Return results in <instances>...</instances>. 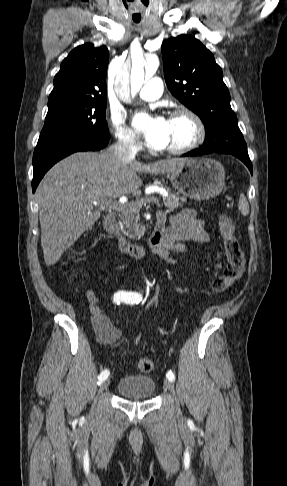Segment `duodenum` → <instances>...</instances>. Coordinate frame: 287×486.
<instances>
[{
	"label": "duodenum",
	"mask_w": 287,
	"mask_h": 486,
	"mask_svg": "<svg viewBox=\"0 0 287 486\" xmlns=\"http://www.w3.org/2000/svg\"><path fill=\"white\" fill-rule=\"evenodd\" d=\"M103 227L108 234L117 240L119 249L122 252L135 258H142L148 250L156 252L161 247L165 235V217L163 215L157 216L154 229L149 237L147 245L134 244L128 241L118 230L115 218L112 214H108L104 218Z\"/></svg>",
	"instance_id": "1"
}]
</instances>
